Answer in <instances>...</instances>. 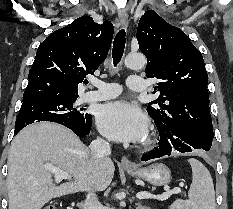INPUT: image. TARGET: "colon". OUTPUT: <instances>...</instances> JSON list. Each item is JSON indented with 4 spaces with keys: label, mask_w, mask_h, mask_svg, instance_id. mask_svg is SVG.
<instances>
[{
    "label": "colon",
    "mask_w": 233,
    "mask_h": 209,
    "mask_svg": "<svg viewBox=\"0 0 233 209\" xmlns=\"http://www.w3.org/2000/svg\"><path fill=\"white\" fill-rule=\"evenodd\" d=\"M42 209H57L55 205H46Z\"/></svg>",
    "instance_id": "1"
}]
</instances>
